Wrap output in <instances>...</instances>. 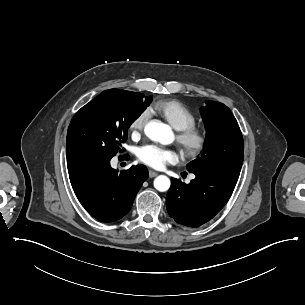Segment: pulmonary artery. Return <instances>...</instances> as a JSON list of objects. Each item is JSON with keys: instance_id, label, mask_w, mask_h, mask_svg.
Here are the masks:
<instances>
[{"instance_id": "e3ab8cb5", "label": "pulmonary artery", "mask_w": 305, "mask_h": 305, "mask_svg": "<svg viewBox=\"0 0 305 305\" xmlns=\"http://www.w3.org/2000/svg\"><path fill=\"white\" fill-rule=\"evenodd\" d=\"M190 178H191V179H193V178H194V176H191Z\"/></svg>"}]
</instances>
